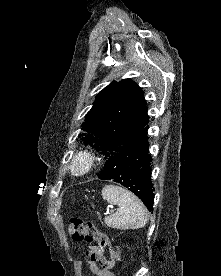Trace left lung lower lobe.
Instances as JSON below:
<instances>
[{"label": "left lung lower lobe", "mask_w": 221, "mask_h": 276, "mask_svg": "<svg viewBox=\"0 0 221 276\" xmlns=\"http://www.w3.org/2000/svg\"><path fill=\"white\" fill-rule=\"evenodd\" d=\"M147 131L148 126L142 130L134 144L108 158L99 178L125 186L152 212L154 190L151 182L152 159L148 154Z\"/></svg>", "instance_id": "left-lung-lower-lobe-1"}]
</instances>
